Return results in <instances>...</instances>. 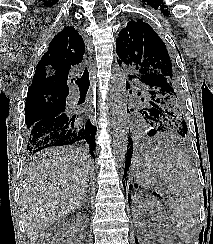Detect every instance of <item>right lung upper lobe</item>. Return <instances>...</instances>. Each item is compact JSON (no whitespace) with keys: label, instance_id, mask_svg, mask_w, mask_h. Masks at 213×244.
<instances>
[{"label":"right lung upper lobe","instance_id":"cb5924a9","mask_svg":"<svg viewBox=\"0 0 213 244\" xmlns=\"http://www.w3.org/2000/svg\"><path fill=\"white\" fill-rule=\"evenodd\" d=\"M84 41L74 27L66 26L50 42L38 62L27 97L43 94L67 96L68 76L83 60Z\"/></svg>","mask_w":213,"mask_h":244}]
</instances>
